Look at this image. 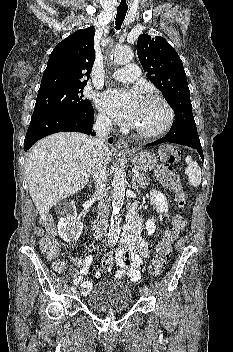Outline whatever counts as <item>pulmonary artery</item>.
I'll return each mask as SVG.
<instances>
[{
	"instance_id": "obj_1",
	"label": "pulmonary artery",
	"mask_w": 233,
	"mask_h": 352,
	"mask_svg": "<svg viewBox=\"0 0 233 352\" xmlns=\"http://www.w3.org/2000/svg\"><path fill=\"white\" fill-rule=\"evenodd\" d=\"M140 77V70L137 65L128 64L112 73V78L121 82H134Z\"/></svg>"
}]
</instances>
